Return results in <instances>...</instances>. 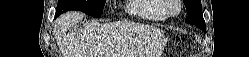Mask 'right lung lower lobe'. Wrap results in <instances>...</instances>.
<instances>
[{"label": "right lung lower lobe", "mask_w": 249, "mask_h": 57, "mask_svg": "<svg viewBox=\"0 0 249 57\" xmlns=\"http://www.w3.org/2000/svg\"><path fill=\"white\" fill-rule=\"evenodd\" d=\"M60 14L62 13L56 11L55 17L59 16Z\"/></svg>", "instance_id": "obj_1"}]
</instances>
